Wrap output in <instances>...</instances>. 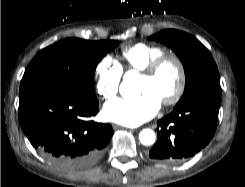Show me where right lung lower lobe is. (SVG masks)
<instances>
[{
	"mask_svg": "<svg viewBox=\"0 0 245 187\" xmlns=\"http://www.w3.org/2000/svg\"><path fill=\"white\" fill-rule=\"evenodd\" d=\"M97 112V99L60 87H38L20 94L23 132L45 159L66 170L95 164L110 142V124L87 120Z\"/></svg>",
	"mask_w": 245,
	"mask_h": 187,
	"instance_id": "98d812e1",
	"label": "right lung lower lobe"
}]
</instances>
